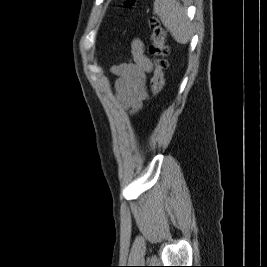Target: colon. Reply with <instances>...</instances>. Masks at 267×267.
<instances>
[{"label": "colon", "instance_id": "5ec220e1", "mask_svg": "<svg viewBox=\"0 0 267 267\" xmlns=\"http://www.w3.org/2000/svg\"><path fill=\"white\" fill-rule=\"evenodd\" d=\"M135 0H125L126 6L134 5ZM151 44L149 53L153 58L154 72L151 79V89L154 95H159L165 85V71L168 67V55L170 52L166 42V32L158 19H150Z\"/></svg>", "mask_w": 267, "mask_h": 267}]
</instances>
